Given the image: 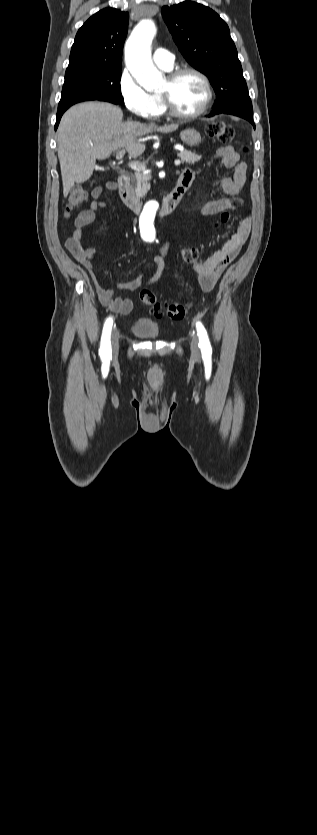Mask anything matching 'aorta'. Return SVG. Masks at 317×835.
Listing matches in <instances>:
<instances>
[{
    "instance_id": "1",
    "label": "aorta",
    "mask_w": 317,
    "mask_h": 835,
    "mask_svg": "<svg viewBox=\"0 0 317 835\" xmlns=\"http://www.w3.org/2000/svg\"><path fill=\"white\" fill-rule=\"evenodd\" d=\"M156 25L152 18L142 20L132 31L125 44V62L134 79L145 90L152 91L161 87L163 74L154 66L151 58V45L156 35ZM158 204L148 202L140 218L142 234L155 238L153 222Z\"/></svg>"
}]
</instances>
